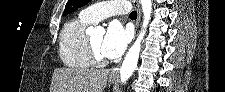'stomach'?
Listing matches in <instances>:
<instances>
[{
	"label": "stomach",
	"instance_id": "0dacf381",
	"mask_svg": "<svg viewBox=\"0 0 225 92\" xmlns=\"http://www.w3.org/2000/svg\"><path fill=\"white\" fill-rule=\"evenodd\" d=\"M114 80H115V78H114L113 76H110V77H109V81H110V82H113Z\"/></svg>",
	"mask_w": 225,
	"mask_h": 92
}]
</instances>
